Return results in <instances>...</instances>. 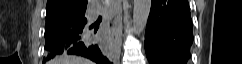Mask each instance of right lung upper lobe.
I'll return each instance as SVG.
<instances>
[{"label":"right lung upper lobe","instance_id":"1","mask_svg":"<svg viewBox=\"0 0 242 64\" xmlns=\"http://www.w3.org/2000/svg\"><path fill=\"white\" fill-rule=\"evenodd\" d=\"M87 0H47V13L71 11L86 7Z\"/></svg>","mask_w":242,"mask_h":64}]
</instances>
